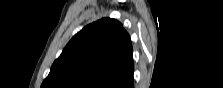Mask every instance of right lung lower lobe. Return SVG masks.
<instances>
[{"label": "right lung lower lobe", "instance_id": "1", "mask_svg": "<svg viewBox=\"0 0 223 88\" xmlns=\"http://www.w3.org/2000/svg\"><path fill=\"white\" fill-rule=\"evenodd\" d=\"M134 87V81L132 80V82H131V88H133Z\"/></svg>", "mask_w": 223, "mask_h": 88}]
</instances>
